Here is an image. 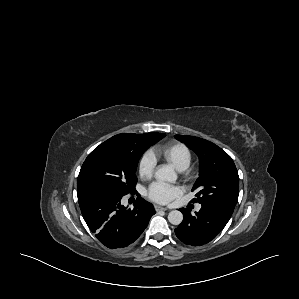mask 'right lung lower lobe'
Instances as JSON below:
<instances>
[{
  "label": "right lung lower lobe",
  "mask_w": 299,
  "mask_h": 299,
  "mask_svg": "<svg viewBox=\"0 0 299 299\" xmlns=\"http://www.w3.org/2000/svg\"><path fill=\"white\" fill-rule=\"evenodd\" d=\"M123 195L113 191L84 186L78 190L83 218L96 238L110 249L130 247L147 227L155 210L138 197L134 208L121 205Z\"/></svg>",
  "instance_id": "obj_1"
}]
</instances>
